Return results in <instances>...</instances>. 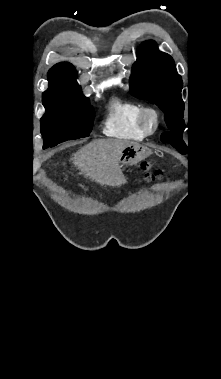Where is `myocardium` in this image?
Wrapping results in <instances>:
<instances>
[{"instance_id":"obj_1","label":"myocardium","mask_w":221,"mask_h":379,"mask_svg":"<svg viewBox=\"0 0 221 379\" xmlns=\"http://www.w3.org/2000/svg\"><path fill=\"white\" fill-rule=\"evenodd\" d=\"M140 127L146 135L154 134L160 126L159 112L152 107H144L139 116Z\"/></svg>"}]
</instances>
